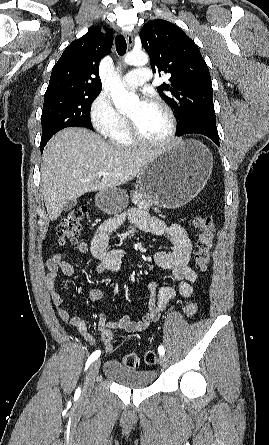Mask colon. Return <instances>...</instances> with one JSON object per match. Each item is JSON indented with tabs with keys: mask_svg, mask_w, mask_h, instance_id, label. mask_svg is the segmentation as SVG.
<instances>
[{
	"mask_svg": "<svg viewBox=\"0 0 269 445\" xmlns=\"http://www.w3.org/2000/svg\"><path fill=\"white\" fill-rule=\"evenodd\" d=\"M86 207H80L68 212L60 221L57 227V236L59 242L64 244H74L78 241L82 229L83 220L86 216ZM193 225L199 231V237L196 244L197 250L195 253L196 265L199 270L206 271L211 260V252L213 248L215 223L209 216L198 215L193 219ZM198 305L196 302H190L185 306V314L191 318L196 315ZM103 341L106 349H112L113 335L106 333ZM158 361L156 353L152 350L144 354V362L148 365H154ZM123 363L125 366L135 369L139 366L140 359L135 352H127L123 356Z\"/></svg>",
	"mask_w": 269,
	"mask_h": 445,
	"instance_id": "colon-1",
	"label": "colon"
}]
</instances>
